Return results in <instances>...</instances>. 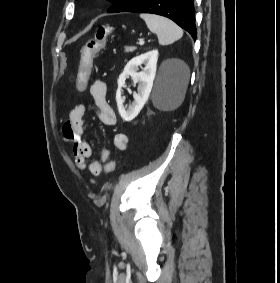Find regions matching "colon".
Instances as JSON below:
<instances>
[{"label": "colon", "instance_id": "colon-1", "mask_svg": "<svg viewBox=\"0 0 280 283\" xmlns=\"http://www.w3.org/2000/svg\"><path fill=\"white\" fill-rule=\"evenodd\" d=\"M112 31L109 26H99L96 30L94 38L90 39L81 51V70L77 74L78 80L75 84L74 95H85L87 83L92 70H87L93 61L95 55L104 48L107 35ZM115 168V162L110 160L107 163V172L112 173Z\"/></svg>", "mask_w": 280, "mask_h": 283}]
</instances>
